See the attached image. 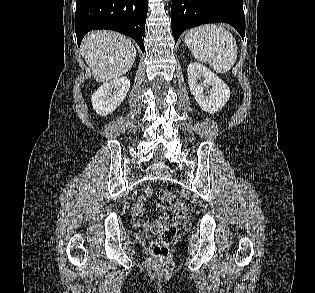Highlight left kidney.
Here are the masks:
<instances>
[{"mask_svg":"<svg viewBox=\"0 0 315 293\" xmlns=\"http://www.w3.org/2000/svg\"><path fill=\"white\" fill-rule=\"evenodd\" d=\"M187 73L190 91L202 110L214 114L225 106L230 89L217 75L199 63L189 64ZM201 78L203 83H198Z\"/></svg>","mask_w":315,"mask_h":293,"instance_id":"left-kidney-1","label":"left kidney"}]
</instances>
